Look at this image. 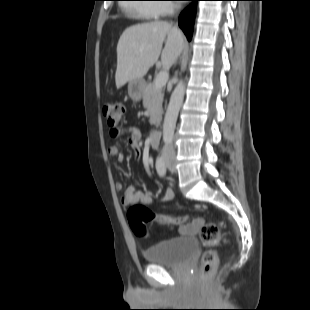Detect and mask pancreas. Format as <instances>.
Returning a JSON list of instances; mask_svg holds the SVG:
<instances>
[{"instance_id":"obj_1","label":"pancreas","mask_w":310,"mask_h":310,"mask_svg":"<svg viewBox=\"0 0 310 310\" xmlns=\"http://www.w3.org/2000/svg\"><path fill=\"white\" fill-rule=\"evenodd\" d=\"M164 94L156 89L153 83H148L143 90V106L150 116V124L158 126L162 119V102Z\"/></svg>"}]
</instances>
